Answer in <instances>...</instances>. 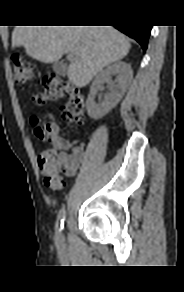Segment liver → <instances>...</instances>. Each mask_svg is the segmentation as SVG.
Here are the masks:
<instances>
[{
  "instance_id": "liver-1",
  "label": "liver",
  "mask_w": 184,
  "mask_h": 292,
  "mask_svg": "<svg viewBox=\"0 0 184 292\" xmlns=\"http://www.w3.org/2000/svg\"><path fill=\"white\" fill-rule=\"evenodd\" d=\"M19 46L43 63L58 62L64 53H71L67 75L79 88L130 50L129 40L112 26H16L12 47Z\"/></svg>"
}]
</instances>
